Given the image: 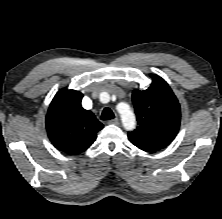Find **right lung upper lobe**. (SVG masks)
<instances>
[{
    "instance_id": "right-lung-upper-lobe-1",
    "label": "right lung upper lobe",
    "mask_w": 222,
    "mask_h": 219,
    "mask_svg": "<svg viewBox=\"0 0 222 219\" xmlns=\"http://www.w3.org/2000/svg\"><path fill=\"white\" fill-rule=\"evenodd\" d=\"M83 94L61 89L53 98L46 116L50 141L60 151L76 155L92 145L103 128L91 111L81 106Z\"/></svg>"
}]
</instances>
